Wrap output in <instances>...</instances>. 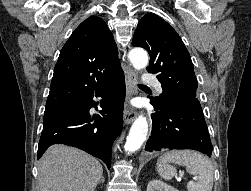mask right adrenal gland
Listing matches in <instances>:
<instances>
[{
  "instance_id": "right-adrenal-gland-1",
  "label": "right adrenal gland",
  "mask_w": 251,
  "mask_h": 191,
  "mask_svg": "<svg viewBox=\"0 0 251 191\" xmlns=\"http://www.w3.org/2000/svg\"><path fill=\"white\" fill-rule=\"evenodd\" d=\"M104 181H105V177H104V175H102V177H101L99 183H104Z\"/></svg>"
}]
</instances>
